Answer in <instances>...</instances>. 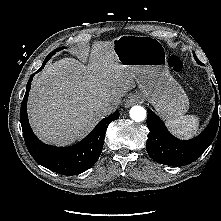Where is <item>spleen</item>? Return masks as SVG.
<instances>
[{
  "label": "spleen",
  "instance_id": "obj_1",
  "mask_svg": "<svg viewBox=\"0 0 221 221\" xmlns=\"http://www.w3.org/2000/svg\"><path fill=\"white\" fill-rule=\"evenodd\" d=\"M199 121V117L195 115H186L169 120L167 126L177 137L190 139L198 132Z\"/></svg>",
  "mask_w": 221,
  "mask_h": 221
}]
</instances>
